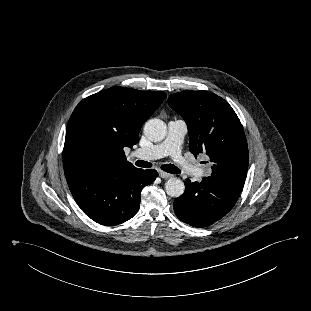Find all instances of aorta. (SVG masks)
<instances>
[{
	"mask_svg": "<svg viewBox=\"0 0 311 311\" xmlns=\"http://www.w3.org/2000/svg\"><path fill=\"white\" fill-rule=\"evenodd\" d=\"M144 134L149 140L160 142L167 134L166 124L157 118L150 119L144 125ZM184 190V182L178 178H170L165 183V191L171 197H180Z\"/></svg>",
	"mask_w": 311,
	"mask_h": 311,
	"instance_id": "1",
	"label": "aorta"
}]
</instances>
